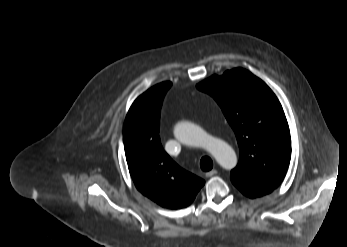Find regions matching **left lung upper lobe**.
Wrapping results in <instances>:
<instances>
[{
    "instance_id": "left-lung-upper-lobe-1",
    "label": "left lung upper lobe",
    "mask_w": 347,
    "mask_h": 247,
    "mask_svg": "<svg viewBox=\"0 0 347 247\" xmlns=\"http://www.w3.org/2000/svg\"><path fill=\"white\" fill-rule=\"evenodd\" d=\"M197 88L210 94L233 128L239 163L231 181L275 189L291 158V137L283 108L273 91L249 71L237 68L213 75Z\"/></svg>"
}]
</instances>
